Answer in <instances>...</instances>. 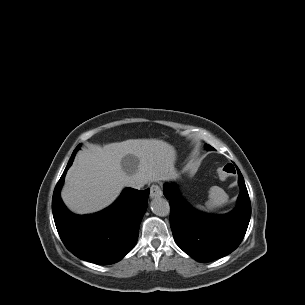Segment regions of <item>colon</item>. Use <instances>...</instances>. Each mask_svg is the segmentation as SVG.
<instances>
[{
	"label": "colon",
	"instance_id": "colon-1",
	"mask_svg": "<svg viewBox=\"0 0 305 305\" xmlns=\"http://www.w3.org/2000/svg\"><path fill=\"white\" fill-rule=\"evenodd\" d=\"M229 167H230L229 165H226V166L218 169L217 175H218L219 179L226 180L232 176L233 172L230 170Z\"/></svg>",
	"mask_w": 305,
	"mask_h": 305
}]
</instances>
